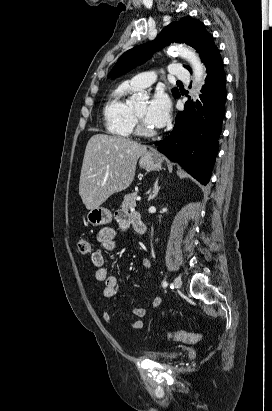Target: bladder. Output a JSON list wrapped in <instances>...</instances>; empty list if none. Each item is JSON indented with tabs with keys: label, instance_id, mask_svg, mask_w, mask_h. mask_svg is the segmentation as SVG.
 <instances>
[{
	"label": "bladder",
	"instance_id": "1",
	"mask_svg": "<svg viewBox=\"0 0 272 411\" xmlns=\"http://www.w3.org/2000/svg\"><path fill=\"white\" fill-rule=\"evenodd\" d=\"M147 356L155 361L171 363L179 359L180 355L177 352H148Z\"/></svg>",
	"mask_w": 272,
	"mask_h": 411
}]
</instances>
